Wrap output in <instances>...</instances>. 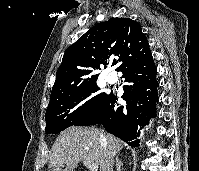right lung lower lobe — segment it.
<instances>
[{
	"instance_id": "1",
	"label": "right lung lower lobe",
	"mask_w": 199,
	"mask_h": 171,
	"mask_svg": "<svg viewBox=\"0 0 199 171\" xmlns=\"http://www.w3.org/2000/svg\"><path fill=\"white\" fill-rule=\"evenodd\" d=\"M123 77L128 82L123 86L122 98L126 105L116 103L115 96L111 93L74 125L90 126L102 124L111 134L127 142L132 147L139 145L140 131L138 126H145L155 115V104L158 101L156 80L157 68L152 55L146 59L125 68ZM141 129V127H140Z\"/></svg>"
}]
</instances>
